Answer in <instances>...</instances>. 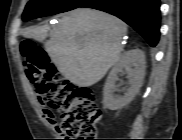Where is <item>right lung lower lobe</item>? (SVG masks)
<instances>
[{
	"mask_svg": "<svg viewBox=\"0 0 182 140\" xmlns=\"http://www.w3.org/2000/svg\"><path fill=\"white\" fill-rule=\"evenodd\" d=\"M79 7L115 15L139 32L155 47L160 36V0H87Z\"/></svg>",
	"mask_w": 182,
	"mask_h": 140,
	"instance_id": "obj_1",
	"label": "right lung lower lobe"
}]
</instances>
